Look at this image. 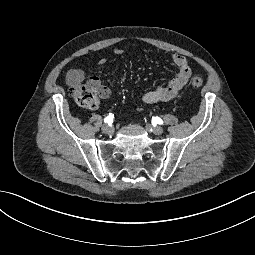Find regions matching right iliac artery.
<instances>
[{
    "mask_svg": "<svg viewBox=\"0 0 255 255\" xmlns=\"http://www.w3.org/2000/svg\"><path fill=\"white\" fill-rule=\"evenodd\" d=\"M114 115L112 113H109V115L104 119L105 123H111L113 121Z\"/></svg>",
    "mask_w": 255,
    "mask_h": 255,
    "instance_id": "82829eb1",
    "label": "right iliac artery"
}]
</instances>
